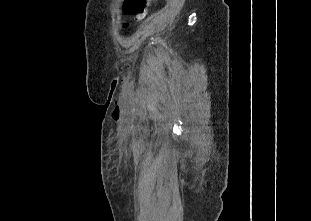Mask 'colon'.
Listing matches in <instances>:
<instances>
[{"mask_svg": "<svg viewBox=\"0 0 311 221\" xmlns=\"http://www.w3.org/2000/svg\"><path fill=\"white\" fill-rule=\"evenodd\" d=\"M149 0H125L124 10H121V17L135 16L139 22L144 21L147 16V3Z\"/></svg>", "mask_w": 311, "mask_h": 221, "instance_id": "5ec220e1", "label": "colon"}]
</instances>
